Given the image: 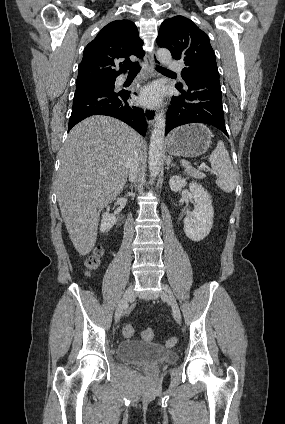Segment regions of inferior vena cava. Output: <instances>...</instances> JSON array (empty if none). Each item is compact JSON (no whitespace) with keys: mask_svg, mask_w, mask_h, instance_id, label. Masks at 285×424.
<instances>
[{"mask_svg":"<svg viewBox=\"0 0 285 424\" xmlns=\"http://www.w3.org/2000/svg\"><path fill=\"white\" fill-rule=\"evenodd\" d=\"M139 154L138 150L135 149L132 157L129 159V181L131 183L136 181L138 173Z\"/></svg>","mask_w":285,"mask_h":424,"instance_id":"obj_1","label":"inferior vena cava"}]
</instances>
